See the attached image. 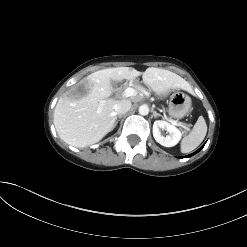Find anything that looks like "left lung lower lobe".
I'll list each match as a JSON object with an SVG mask.
<instances>
[{"label": "left lung lower lobe", "mask_w": 247, "mask_h": 247, "mask_svg": "<svg viewBox=\"0 0 247 247\" xmlns=\"http://www.w3.org/2000/svg\"><path fill=\"white\" fill-rule=\"evenodd\" d=\"M205 145V144H204ZM203 145V146H204ZM202 146V147H203ZM202 147L201 148H199L196 152H194V153H192V154H190V155H187V156H185V157H191V156H193L194 154H196L197 152H199L201 149H202ZM181 158H183V157H181Z\"/></svg>", "instance_id": "left-lung-lower-lobe-1"}]
</instances>
